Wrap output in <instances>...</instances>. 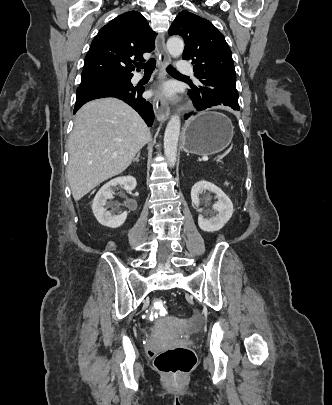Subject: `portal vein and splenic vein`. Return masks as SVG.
I'll return each mask as SVG.
<instances>
[{
  "label": "portal vein and splenic vein",
  "mask_w": 332,
  "mask_h": 405,
  "mask_svg": "<svg viewBox=\"0 0 332 405\" xmlns=\"http://www.w3.org/2000/svg\"><path fill=\"white\" fill-rule=\"evenodd\" d=\"M202 160H203V161H207V160H208V157H203Z\"/></svg>",
  "instance_id": "18ae733b"
}]
</instances>
